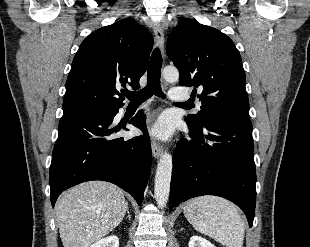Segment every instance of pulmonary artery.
<instances>
[{
  "label": "pulmonary artery",
  "mask_w": 310,
  "mask_h": 247,
  "mask_svg": "<svg viewBox=\"0 0 310 247\" xmlns=\"http://www.w3.org/2000/svg\"><path fill=\"white\" fill-rule=\"evenodd\" d=\"M169 97L174 101H185L189 98L188 94L183 92V89L181 87L171 88L169 91Z\"/></svg>",
  "instance_id": "obj_1"
}]
</instances>
